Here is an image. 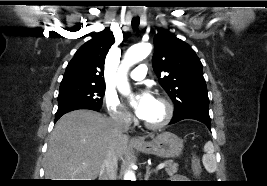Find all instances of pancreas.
Here are the masks:
<instances>
[{
  "label": "pancreas",
  "mask_w": 267,
  "mask_h": 186,
  "mask_svg": "<svg viewBox=\"0 0 267 186\" xmlns=\"http://www.w3.org/2000/svg\"><path fill=\"white\" fill-rule=\"evenodd\" d=\"M165 164H166L165 171L168 175L172 176L175 173H177V171H178V164L177 163H173L171 161H166Z\"/></svg>",
  "instance_id": "obj_1"
}]
</instances>
